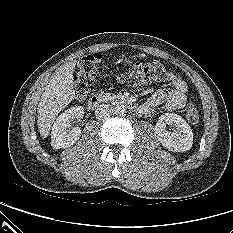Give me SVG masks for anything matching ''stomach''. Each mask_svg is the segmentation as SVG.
<instances>
[{"label":"stomach","instance_id":"obj_1","mask_svg":"<svg viewBox=\"0 0 233 233\" xmlns=\"http://www.w3.org/2000/svg\"><path fill=\"white\" fill-rule=\"evenodd\" d=\"M134 60V57L132 55H123L122 58H121V61L124 62V63H132Z\"/></svg>","mask_w":233,"mask_h":233}]
</instances>
